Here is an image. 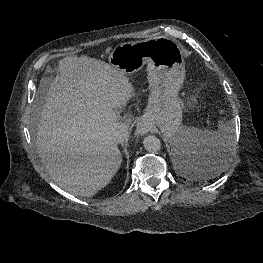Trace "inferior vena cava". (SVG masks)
<instances>
[{
    "mask_svg": "<svg viewBox=\"0 0 263 263\" xmlns=\"http://www.w3.org/2000/svg\"><path fill=\"white\" fill-rule=\"evenodd\" d=\"M128 136V128L124 123L117 122L114 124L111 139L115 143H122Z\"/></svg>",
    "mask_w": 263,
    "mask_h": 263,
    "instance_id": "1",
    "label": "inferior vena cava"
}]
</instances>
